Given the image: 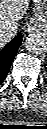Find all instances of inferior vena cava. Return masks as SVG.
Segmentation results:
<instances>
[{
	"mask_svg": "<svg viewBox=\"0 0 47 129\" xmlns=\"http://www.w3.org/2000/svg\"><path fill=\"white\" fill-rule=\"evenodd\" d=\"M16 33H17V30H15L14 28L2 29L0 31V39L2 41L8 42L15 37Z\"/></svg>",
	"mask_w": 47,
	"mask_h": 129,
	"instance_id": "inferior-vena-cava-1",
	"label": "inferior vena cava"
}]
</instances>
